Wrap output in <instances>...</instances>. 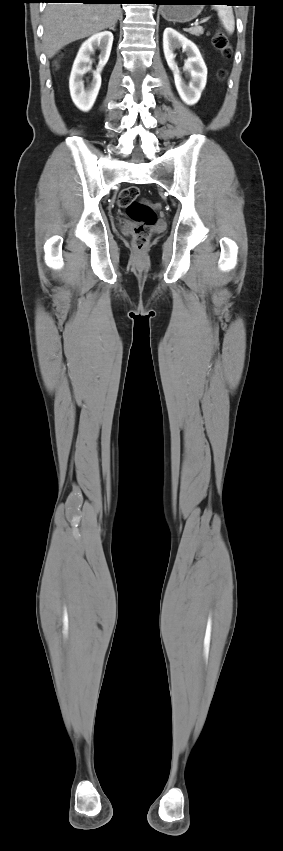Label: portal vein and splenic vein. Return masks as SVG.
I'll use <instances>...</instances> for the list:
<instances>
[{
	"mask_svg": "<svg viewBox=\"0 0 283 851\" xmlns=\"http://www.w3.org/2000/svg\"><path fill=\"white\" fill-rule=\"evenodd\" d=\"M206 21H207V20H206V19H204V20H202L201 22H195V25H198V24H200V23H204V22H206Z\"/></svg>",
	"mask_w": 283,
	"mask_h": 851,
	"instance_id": "1",
	"label": "portal vein and splenic vein"
}]
</instances>
